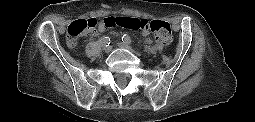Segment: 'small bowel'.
<instances>
[{"mask_svg": "<svg viewBox=\"0 0 255 122\" xmlns=\"http://www.w3.org/2000/svg\"><path fill=\"white\" fill-rule=\"evenodd\" d=\"M110 28L107 24H106V18L103 19L99 24H98V27H97V30H96V34H100V33H103L106 29ZM149 32L148 31H143V35H148ZM147 42L150 43L151 42V39L148 38L147 39Z\"/></svg>", "mask_w": 255, "mask_h": 122, "instance_id": "c3829d8e", "label": "small bowel"}]
</instances>
